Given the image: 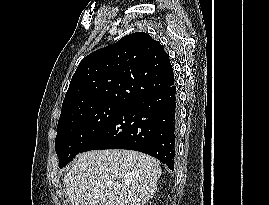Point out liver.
<instances>
[{
	"label": "liver",
	"instance_id": "6515ba94",
	"mask_svg": "<svg viewBox=\"0 0 269 205\" xmlns=\"http://www.w3.org/2000/svg\"><path fill=\"white\" fill-rule=\"evenodd\" d=\"M161 167L132 150H92L78 156L63 184L70 205H144L157 190Z\"/></svg>",
	"mask_w": 269,
	"mask_h": 205
}]
</instances>
